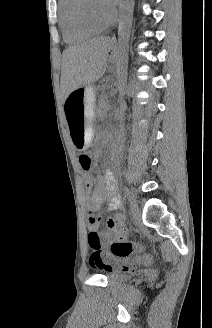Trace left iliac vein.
Listing matches in <instances>:
<instances>
[{"label": "left iliac vein", "mask_w": 212, "mask_h": 328, "mask_svg": "<svg viewBox=\"0 0 212 328\" xmlns=\"http://www.w3.org/2000/svg\"><path fill=\"white\" fill-rule=\"evenodd\" d=\"M130 211H131V216L135 221L141 219V210L134 199H131L130 201Z\"/></svg>", "instance_id": "1"}]
</instances>
